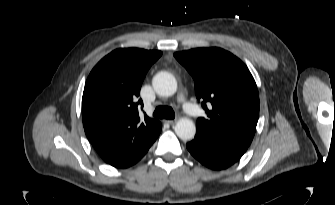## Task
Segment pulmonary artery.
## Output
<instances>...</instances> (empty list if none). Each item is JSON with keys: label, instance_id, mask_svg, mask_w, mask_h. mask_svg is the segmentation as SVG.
<instances>
[{"label": "pulmonary artery", "instance_id": "pulmonary-artery-1", "mask_svg": "<svg viewBox=\"0 0 335 205\" xmlns=\"http://www.w3.org/2000/svg\"><path fill=\"white\" fill-rule=\"evenodd\" d=\"M180 100H181V102H182V106H183L184 110H185L190 116H193V117L198 116V114H199V109H198L194 104H192V103L186 101L184 97H181Z\"/></svg>", "mask_w": 335, "mask_h": 205}]
</instances>
